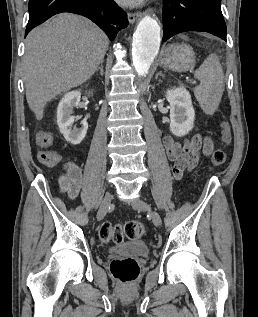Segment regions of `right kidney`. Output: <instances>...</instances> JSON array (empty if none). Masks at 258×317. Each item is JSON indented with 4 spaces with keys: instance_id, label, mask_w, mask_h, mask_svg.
Returning <instances> with one entry per match:
<instances>
[{
    "instance_id": "1",
    "label": "right kidney",
    "mask_w": 258,
    "mask_h": 317,
    "mask_svg": "<svg viewBox=\"0 0 258 317\" xmlns=\"http://www.w3.org/2000/svg\"><path fill=\"white\" fill-rule=\"evenodd\" d=\"M80 98V90L66 92L63 98H61L57 108V124L59 130L71 144H79V142L83 140L88 128L87 118L81 120V128H74L73 126L75 116H72V112L74 106H78Z\"/></svg>"
}]
</instances>
